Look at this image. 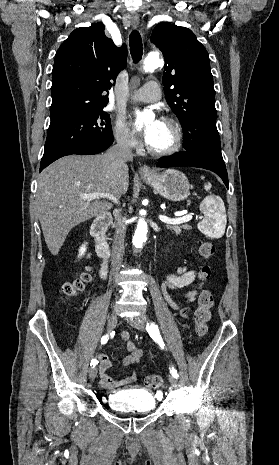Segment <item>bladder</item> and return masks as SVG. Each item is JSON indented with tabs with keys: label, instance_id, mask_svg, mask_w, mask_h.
<instances>
[{
	"label": "bladder",
	"instance_id": "obj_1",
	"mask_svg": "<svg viewBox=\"0 0 279 465\" xmlns=\"http://www.w3.org/2000/svg\"><path fill=\"white\" fill-rule=\"evenodd\" d=\"M106 402L119 412L149 413L156 408V398L150 391L140 388H126L110 393Z\"/></svg>",
	"mask_w": 279,
	"mask_h": 465
}]
</instances>
